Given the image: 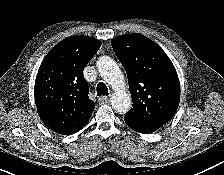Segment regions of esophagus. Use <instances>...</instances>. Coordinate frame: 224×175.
Wrapping results in <instances>:
<instances>
[{
	"instance_id": "obj_1",
	"label": "esophagus",
	"mask_w": 224,
	"mask_h": 175,
	"mask_svg": "<svg viewBox=\"0 0 224 175\" xmlns=\"http://www.w3.org/2000/svg\"><path fill=\"white\" fill-rule=\"evenodd\" d=\"M109 101V97L108 96H101L99 98V103L100 104H104V103H107Z\"/></svg>"
}]
</instances>
